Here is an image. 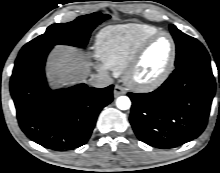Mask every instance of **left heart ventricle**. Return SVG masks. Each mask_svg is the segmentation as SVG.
<instances>
[{"mask_svg": "<svg viewBox=\"0 0 220 173\" xmlns=\"http://www.w3.org/2000/svg\"><path fill=\"white\" fill-rule=\"evenodd\" d=\"M171 43L168 37H160L145 51L134 77L140 81H150L157 77L168 65Z\"/></svg>", "mask_w": 220, "mask_h": 173, "instance_id": "1", "label": "left heart ventricle"}]
</instances>
